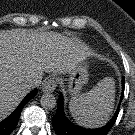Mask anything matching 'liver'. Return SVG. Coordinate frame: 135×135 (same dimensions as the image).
Masks as SVG:
<instances>
[{
	"instance_id": "obj_1",
	"label": "liver",
	"mask_w": 135,
	"mask_h": 135,
	"mask_svg": "<svg viewBox=\"0 0 135 135\" xmlns=\"http://www.w3.org/2000/svg\"><path fill=\"white\" fill-rule=\"evenodd\" d=\"M88 55L83 44L59 33L0 30V121L29 93V80L39 86L44 72L66 74Z\"/></svg>"
}]
</instances>
